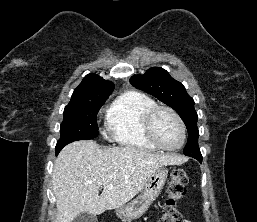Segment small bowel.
I'll use <instances>...</instances> for the list:
<instances>
[{
    "instance_id": "obj_1",
    "label": "small bowel",
    "mask_w": 257,
    "mask_h": 222,
    "mask_svg": "<svg viewBox=\"0 0 257 222\" xmlns=\"http://www.w3.org/2000/svg\"><path fill=\"white\" fill-rule=\"evenodd\" d=\"M182 222H192V221H190L188 219H182Z\"/></svg>"
}]
</instances>
